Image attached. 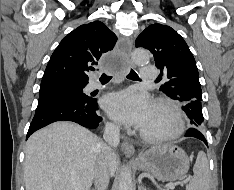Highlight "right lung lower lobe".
Listing matches in <instances>:
<instances>
[{
  "instance_id": "98d812e1",
  "label": "right lung lower lobe",
  "mask_w": 234,
  "mask_h": 190,
  "mask_svg": "<svg viewBox=\"0 0 234 190\" xmlns=\"http://www.w3.org/2000/svg\"><path fill=\"white\" fill-rule=\"evenodd\" d=\"M87 85L88 81L74 82ZM86 102L78 96L58 93L38 102L34 118L30 124L26 139L36 130L56 121H73L87 128H97L101 117L97 115L98 105L95 98L88 97Z\"/></svg>"
}]
</instances>
